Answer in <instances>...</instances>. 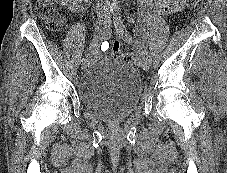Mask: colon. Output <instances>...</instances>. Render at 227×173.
Returning <instances> with one entry per match:
<instances>
[{
  "label": "colon",
  "instance_id": "obj_1",
  "mask_svg": "<svg viewBox=\"0 0 227 173\" xmlns=\"http://www.w3.org/2000/svg\"><path fill=\"white\" fill-rule=\"evenodd\" d=\"M209 3L210 0H188V4L194 9L205 8ZM36 13L40 18L49 23L51 30L58 31L60 29L62 19L59 17L57 10L50 0H38ZM112 55L115 59H120L127 63H132L135 60L132 53L122 52L120 50V45L117 41L112 44Z\"/></svg>",
  "mask_w": 227,
  "mask_h": 173
}]
</instances>
